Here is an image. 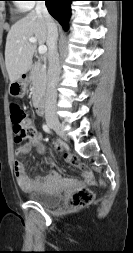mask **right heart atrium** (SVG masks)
I'll use <instances>...</instances> for the list:
<instances>
[{
  "mask_svg": "<svg viewBox=\"0 0 133 253\" xmlns=\"http://www.w3.org/2000/svg\"><path fill=\"white\" fill-rule=\"evenodd\" d=\"M18 6L21 10L27 11L34 6L33 0H20Z\"/></svg>",
  "mask_w": 133,
  "mask_h": 253,
  "instance_id": "d8ad5b80",
  "label": "right heart atrium"
}]
</instances>
